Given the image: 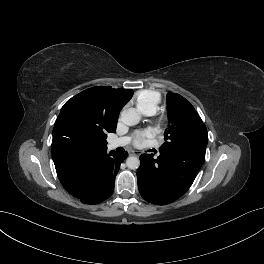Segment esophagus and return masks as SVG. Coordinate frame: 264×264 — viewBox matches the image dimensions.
<instances>
[{"mask_svg": "<svg viewBox=\"0 0 264 264\" xmlns=\"http://www.w3.org/2000/svg\"><path fill=\"white\" fill-rule=\"evenodd\" d=\"M129 155H132V156H139L140 153H139V151L130 150V151H129Z\"/></svg>", "mask_w": 264, "mask_h": 264, "instance_id": "1", "label": "esophagus"}]
</instances>
